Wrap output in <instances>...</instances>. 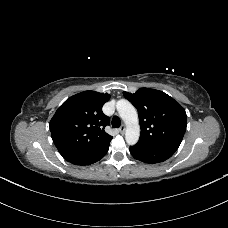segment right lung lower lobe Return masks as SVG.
Masks as SVG:
<instances>
[{"label": "right lung lower lobe", "mask_w": 228, "mask_h": 228, "mask_svg": "<svg viewBox=\"0 0 228 228\" xmlns=\"http://www.w3.org/2000/svg\"><path fill=\"white\" fill-rule=\"evenodd\" d=\"M109 143H107L95 150H92L90 152L68 157L65 159L74 165H90L92 163L99 161L101 158H103L105 156V154L107 153V151L109 149Z\"/></svg>", "instance_id": "obj_1"}]
</instances>
